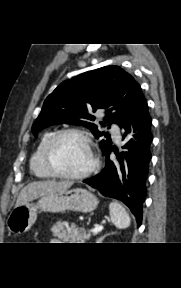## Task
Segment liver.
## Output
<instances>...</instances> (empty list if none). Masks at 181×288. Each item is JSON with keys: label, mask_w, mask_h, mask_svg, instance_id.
Masks as SVG:
<instances>
[{"label": "liver", "mask_w": 181, "mask_h": 288, "mask_svg": "<svg viewBox=\"0 0 181 288\" xmlns=\"http://www.w3.org/2000/svg\"><path fill=\"white\" fill-rule=\"evenodd\" d=\"M73 182L69 181H35L25 186L19 193L16 205L20 206L34 199L42 197L48 193L65 191L72 186Z\"/></svg>", "instance_id": "liver-1"}]
</instances>
